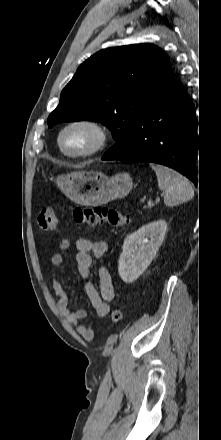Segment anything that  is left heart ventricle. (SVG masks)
Segmentation results:
<instances>
[{"label": "left heart ventricle", "mask_w": 221, "mask_h": 440, "mask_svg": "<svg viewBox=\"0 0 221 440\" xmlns=\"http://www.w3.org/2000/svg\"><path fill=\"white\" fill-rule=\"evenodd\" d=\"M92 137L84 129L74 128L68 131L63 138V146L70 151H80L91 144Z\"/></svg>", "instance_id": "obj_1"}]
</instances>
